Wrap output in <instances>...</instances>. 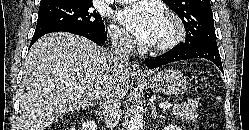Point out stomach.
Masks as SVG:
<instances>
[{"label":"stomach","mask_w":249,"mask_h":130,"mask_svg":"<svg viewBox=\"0 0 249 130\" xmlns=\"http://www.w3.org/2000/svg\"><path fill=\"white\" fill-rule=\"evenodd\" d=\"M152 90L166 95H180L186 92L189 82L181 72L165 69L146 79H138Z\"/></svg>","instance_id":"stomach-1"}]
</instances>
